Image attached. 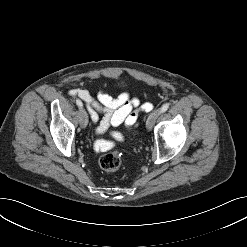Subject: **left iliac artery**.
Returning a JSON list of instances; mask_svg holds the SVG:
<instances>
[{
  "instance_id": "left-iliac-artery-1",
  "label": "left iliac artery",
  "mask_w": 247,
  "mask_h": 247,
  "mask_svg": "<svg viewBox=\"0 0 247 247\" xmlns=\"http://www.w3.org/2000/svg\"><path fill=\"white\" fill-rule=\"evenodd\" d=\"M168 108H169V103L164 104V105L161 107V113L165 112Z\"/></svg>"
}]
</instances>
